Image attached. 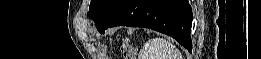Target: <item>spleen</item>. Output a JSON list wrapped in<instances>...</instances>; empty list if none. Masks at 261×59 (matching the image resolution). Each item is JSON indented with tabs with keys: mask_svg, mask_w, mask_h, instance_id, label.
<instances>
[{
	"mask_svg": "<svg viewBox=\"0 0 261 59\" xmlns=\"http://www.w3.org/2000/svg\"><path fill=\"white\" fill-rule=\"evenodd\" d=\"M176 46L164 38L148 40L139 53V59H180Z\"/></svg>",
	"mask_w": 261,
	"mask_h": 59,
	"instance_id": "3e777b00",
	"label": "spleen"
}]
</instances>
